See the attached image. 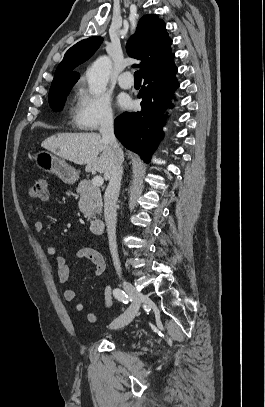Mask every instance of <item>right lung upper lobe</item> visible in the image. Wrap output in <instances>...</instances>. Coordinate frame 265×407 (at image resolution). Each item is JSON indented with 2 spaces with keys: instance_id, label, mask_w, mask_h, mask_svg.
I'll use <instances>...</instances> for the list:
<instances>
[{
  "instance_id": "1",
  "label": "right lung upper lobe",
  "mask_w": 265,
  "mask_h": 407,
  "mask_svg": "<svg viewBox=\"0 0 265 407\" xmlns=\"http://www.w3.org/2000/svg\"><path fill=\"white\" fill-rule=\"evenodd\" d=\"M102 40V37H91L72 46L58 65L52 86L64 82L76 83L80 75L72 72L73 69L88 60ZM171 44L165 23L156 15H146L140 19L136 33L128 41L127 52L142 61L140 65L133 66L140 67L145 74L171 54Z\"/></svg>"
}]
</instances>
